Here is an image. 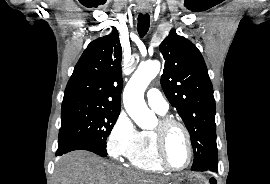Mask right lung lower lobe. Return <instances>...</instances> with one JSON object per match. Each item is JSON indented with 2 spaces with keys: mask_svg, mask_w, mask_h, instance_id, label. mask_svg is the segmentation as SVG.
I'll return each mask as SVG.
<instances>
[{
  "mask_svg": "<svg viewBox=\"0 0 270 184\" xmlns=\"http://www.w3.org/2000/svg\"><path fill=\"white\" fill-rule=\"evenodd\" d=\"M73 150H87L97 155H100L101 157L107 156V153H104L103 151L98 149L96 146L92 144L84 143V142H74V143H69L61 147H58L56 155L61 156L62 154L73 151Z\"/></svg>",
  "mask_w": 270,
  "mask_h": 184,
  "instance_id": "obj_1",
  "label": "right lung lower lobe"
}]
</instances>
